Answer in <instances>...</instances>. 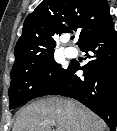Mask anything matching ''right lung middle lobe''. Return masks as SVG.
Wrapping results in <instances>:
<instances>
[{
    "label": "right lung middle lobe",
    "mask_w": 117,
    "mask_h": 131,
    "mask_svg": "<svg viewBox=\"0 0 117 131\" xmlns=\"http://www.w3.org/2000/svg\"><path fill=\"white\" fill-rule=\"evenodd\" d=\"M53 55L11 70L8 90L10 109L34 98L53 94L62 87L67 69L56 63Z\"/></svg>",
    "instance_id": "right-lung-middle-lobe-1"
}]
</instances>
